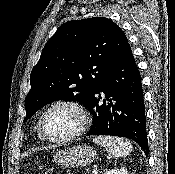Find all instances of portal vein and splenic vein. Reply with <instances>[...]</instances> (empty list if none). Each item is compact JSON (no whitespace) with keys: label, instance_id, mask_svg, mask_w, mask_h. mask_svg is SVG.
<instances>
[{"label":"portal vein and splenic vein","instance_id":"obj_1","mask_svg":"<svg viewBox=\"0 0 175 174\" xmlns=\"http://www.w3.org/2000/svg\"><path fill=\"white\" fill-rule=\"evenodd\" d=\"M92 174H98V170L96 167H94L93 171H92Z\"/></svg>","mask_w":175,"mask_h":174}]
</instances>
